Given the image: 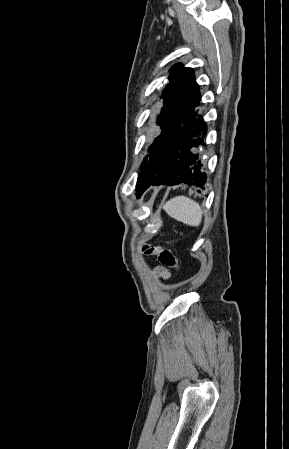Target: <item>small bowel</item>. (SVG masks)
<instances>
[{
    "mask_svg": "<svg viewBox=\"0 0 289 449\" xmlns=\"http://www.w3.org/2000/svg\"><path fill=\"white\" fill-rule=\"evenodd\" d=\"M153 273L155 276L160 277L164 280H167L170 277V272L167 270V268H165L163 266L155 267Z\"/></svg>",
    "mask_w": 289,
    "mask_h": 449,
    "instance_id": "small-bowel-1",
    "label": "small bowel"
}]
</instances>
